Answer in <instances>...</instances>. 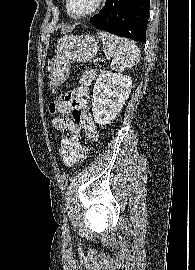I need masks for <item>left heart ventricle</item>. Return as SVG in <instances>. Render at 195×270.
I'll return each mask as SVG.
<instances>
[{
    "instance_id": "b2bd125f",
    "label": "left heart ventricle",
    "mask_w": 195,
    "mask_h": 270,
    "mask_svg": "<svg viewBox=\"0 0 195 270\" xmlns=\"http://www.w3.org/2000/svg\"><path fill=\"white\" fill-rule=\"evenodd\" d=\"M97 0H70L71 10L76 14L89 12L96 4Z\"/></svg>"
}]
</instances>
